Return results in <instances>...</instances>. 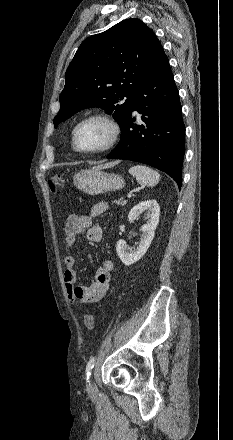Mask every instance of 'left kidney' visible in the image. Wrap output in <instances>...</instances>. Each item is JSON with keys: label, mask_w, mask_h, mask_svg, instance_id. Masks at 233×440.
<instances>
[{"label": "left kidney", "mask_w": 233, "mask_h": 440, "mask_svg": "<svg viewBox=\"0 0 233 440\" xmlns=\"http://www.w3.org/2000/svg\"><path fill=\"white\" fill-rule=\"evenodd\" d=\"M142 213L148 218V222L142 226V237L137 248L128 251L126 241L120 239L116 245L117 254L126 266H130L140 260L148 250L159 223L160 207L156 200H146L134 206L128 214L129 220H134Z\"/></svg>", "instance_id": "obj_1"}]
</instances>
